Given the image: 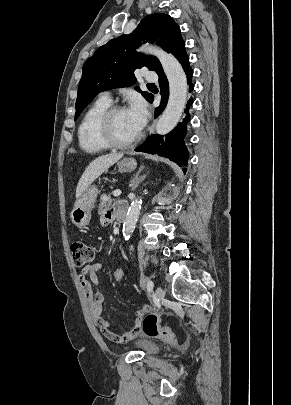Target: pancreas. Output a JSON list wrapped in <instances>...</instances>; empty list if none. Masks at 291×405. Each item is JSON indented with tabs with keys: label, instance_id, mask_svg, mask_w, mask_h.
<instances>
[{
	"label": "pancreas",
	"instance_id": "1",
	"mask_svg": "<svg viewBox=\"0 0 291 405\" xmlns=\"http://www.w3.org/2000/svg\"><path fill=\"white\" fill-rule=\"evenodd\" d=\"M112 203V200L110 197H107L105 194L101 196V201L98 207V213L101 214L104 209L108 208Z\"/></svg>",
	"mask_w": 291,
	"mask_h": 405
}]
</instances>
